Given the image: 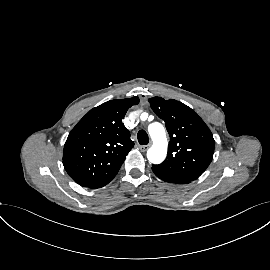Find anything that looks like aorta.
<instances>
[{"label": "aorta", "instance_id": "1", "mask_svg": "<svg viewBox=\"0 0 270 270\" xmlns=\"http://www.w3.org/2000/svg\"><path fill=\"white\" fill-rule=\"evenodd\" d=\"M153 145L147 151V158L153 164H159L164 161L167 155V138L162 124L155 122L148 127Z\"/></svg>", "mask_w": 270, "mask_h": 270}]
</instances>
